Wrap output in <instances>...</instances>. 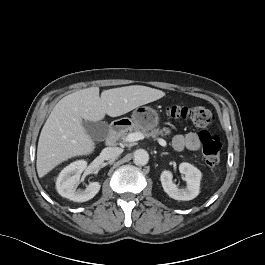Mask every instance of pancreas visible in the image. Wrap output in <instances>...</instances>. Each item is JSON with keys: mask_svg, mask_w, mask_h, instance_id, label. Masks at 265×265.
Here are the masks:
<instances>
[{"mask_svg": "<svg viewBox=\"0 0 265 265\" xmlns=\"http://www.w3.org/2000/svg\"><path fill=\"white\" fill-rule=\"evenodd\" d=\"M128 131L129 132H132V131L140 132V133L143 134L144 137H147V138L152 137L154 139H156L159 135L165 136V135L170 134V129L169 128H163L161 130L153 129L152 131L149 132V131H146V130H141L138 127H129L128 130H124V131L118 133L116 135L117 139H120L123 142H126V137L129 134Z\"/></svg>", "mask_w": 265, "mask_h": 265, "instance_id": "1", "label": "pancreas"}]
</instances>
